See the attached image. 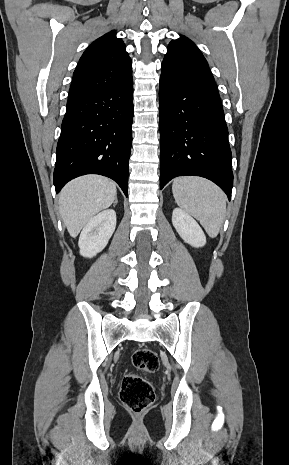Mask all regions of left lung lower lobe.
Listing matches in <instances>:
<instances>
[{
    "instance_id": "1",
    "label": "left lung lower lobe",
    "mask_w": 289,
    "mask_h": 465,
    "mask_svg": "<svg viewBox=\"0 0 289 465\" xmlns=\"http://www.w3.org/2000/svg\"><path fill=\"white\" fill-rule=\"evenodd\" d=\"M159 103L160 189L174 177L195 175L216 183L230 200L232 156L214 79L162 72Z\"/></svg>"
}]
</instances>
